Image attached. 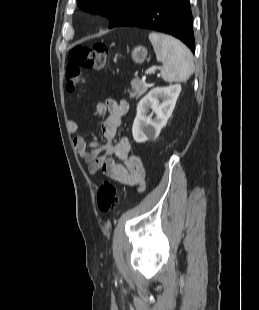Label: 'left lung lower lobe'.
<instances>
[{
  "instance_id": "left-lung-lower-lobe-1",
  "label": "left lung lower lobe",
  "mask_w": 259,
  "mask_h": 310,
  "mask_svg": "<svg viewBox=\"0 0 259 310\" xmlns=\"http://www.w3.org/2000/svg\"><path fill=\"white\" fill-rule=\"evenodd\" d=\"M119 26L147 28L170 34L195 52L189 0H150L129 12L113 27Z\"/></svg>"
}]
</instances>
